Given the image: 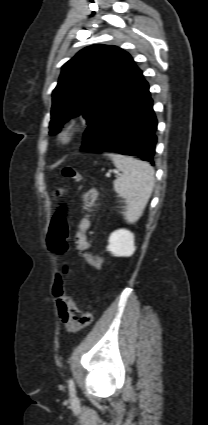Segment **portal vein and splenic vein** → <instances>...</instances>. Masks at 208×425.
<instances>
[{
  "label": "portal vein and splenic vein",
  "mask_w": 208,
  "mask_h": 425,
  "mask_svg": "<svg viewBox=\"0 0 208 425\" xmlns=\"http://www.w3.org/2000/svg\"><path fill=\"white\" fill-rule=\"evenodd\" d=\"M117 174H119V172H117ZM107 177H110V175H109V174H107Z\"/></svg>",
  "instance_id": "18ae733b"
}]
</instances>
